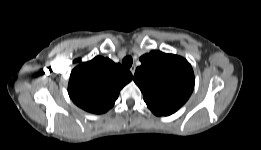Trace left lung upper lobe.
Returning <instances> with one entry per match:
<instances>
[{"label":"left lung upper lobe","instance_id":"obj_1","mask_svg":"<svg viewBox=\"0 0 261 150\" xmlns=\"http://www.w3.org/2000/svg\"><path fill=\"white\" fill-rule=\"evenodd\" d=\"M134 81L143 93L148 108L157 116L176 112L190 97L194 73L183 57L152 51L140 58Z\"/></svg>","mask_w":261,"mask_h":150}]
</instances>
